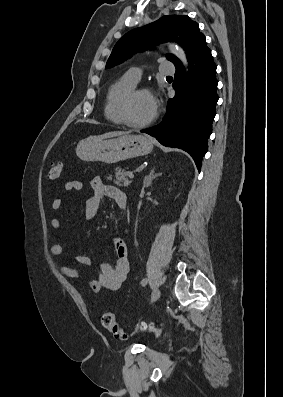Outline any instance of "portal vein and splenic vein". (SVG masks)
<instances>
[{
  "label": "portal vein and splenic vein",
  "mask_w": 283,
  "mask_h": 397,
  "mask_svg": "<svg viewBox=\"0 0 283 397\" xmlns=\"http://www.w3.org/2000/svg\"><path fill=\"white\" fill-rule=\"evenodd\" d=\"M127 175H128L129 178H134L133 172H128Z\"/></svg>",
  "instance_id": "obj_1"
}]
</instances>
